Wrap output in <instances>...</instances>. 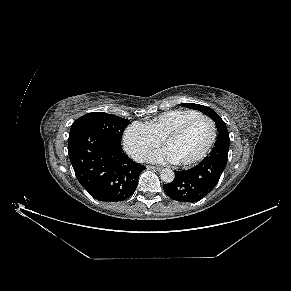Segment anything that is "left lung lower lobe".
Wrapping results in <instances>:
<instances>
[{"label":"left lung lower lobe","mask_w":291,"mask_h":291,"mask_svg":"<svg viewBox=\"0 0 291 291\" xmlns=\"http://www.w3.org/2000/svg\"><path fill=\"white\" fill-rule=\"evenodd\" d=\"M229 141L220 140L198 165L186 171H175L171 183L163 185L164 192L178 202H197L218 183L226 167Z\"/></svg>","instance_id":"0a47b994"}]
</instances>
